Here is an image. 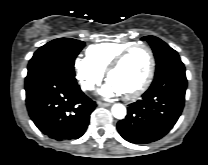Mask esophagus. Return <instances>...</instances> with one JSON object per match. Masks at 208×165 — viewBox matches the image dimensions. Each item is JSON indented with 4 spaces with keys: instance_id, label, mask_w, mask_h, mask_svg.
I'll return each mask as SVG.
<instances>
[{
    "instance_id": "34e87169",
    "label": "esophagus",
    "mask_w": 208,
    "mask_h": 165,
    "mask_svg": "<svg viewBox=\"0 0 208 165\" xmlns=\"http://www.w3.org/2000/svg\"><path fill=\"white\" fill-rule=\"evenodd\" d=\"M97 104L98 106H102V107H108L111 105V103H106V102H101V101H98Z\"/></svg>"
}]
</instances>
